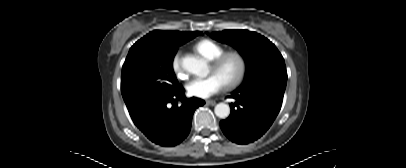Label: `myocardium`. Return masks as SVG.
Returning a JSON list of instances; mask_svg holds the SVG:
<instances>
[{
    "instance_id": "myocardium-1",
    "label": "myocardium",
    "mask_w": 406,
    "mask_h": 168,
    "mask_svg": "<svg viewBox=\"0 0 406 168\" xmlns=\"http://www.w3.org/2000/svg\"><path fill=\"white\" fill-rule=\"evenodd\" d=\"M235 58L238 63V71L234 79L225 83V87L228 89H233L239 86L245 78L247 72V60L245 55L239 50H229L225 51L211 61V68L213 70L220 69L223 64L229 59Z\"/></svg>"
}]
</instances>
